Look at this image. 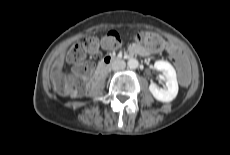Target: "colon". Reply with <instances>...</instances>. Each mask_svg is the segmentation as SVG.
Instances as JSON below:
<instances>
[{"label": "colon", "instance_id": "5ec220e1", "mask_svg": "<svg viewBox=\"0 0 230 155\" xmlns=\"http://www.w3.org/2000/svg\"><path fill=\"white\" fill-rule=\"evenodd\" d=\"M138 41L147 46L165 47L169 57L176 63L179 68L180 79L178 83L179 89H184L191 84L192 68L190 64V56L183 53L180 48L169 44L164 38L152 33H140L137 36ZM121 37L118 32L110 31L101 40L103 48L108 50H115L121 46ZM99 43L97 39L88 37L80 43L74 44L67 51L66 58L74 65L75 79L73 84H69L64 75L55 70L53 72L52 80L54 88L57 92L67 94L72 90L73 85L83 87L85 78H88L92 71L93 65L86 61L87 55L98 54Z\"/></svg>", "mask_w": 230, "mask_h": 155}]
</instances>
